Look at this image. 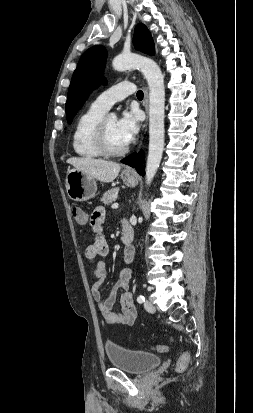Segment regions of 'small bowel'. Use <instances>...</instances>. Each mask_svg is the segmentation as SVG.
I'll list each match as a JSON object with an SVG mask.
<instances>
[{
  "instance_id": "1",
  "label": "small bowel",
  "mask_w": 253,
  "mask_h": 413,
  "mask_svg": "<svg viewBox=\"0 0 253 413\" xmlns=\"http://www.w3.org/2000/svg\"><path fill=\"white\" fill-rule=\"evenodd\" d=\"M105 220V210L103 207H97L90 217L91 231L94 236V242L85 250L86 258L92 263V276L94 284L91 292L94 300L97 303V308L100 311L102 318L110 325H132L137 317V310L133 300V294L129 289L132 271L130 268H124L119 276V279L114 284L110 295L103 299L100 287L106 277V264L103 258L108 255L109 245L102 232L101 225ZM133 258L131 249H126L124 259L126 263H130ZM119 294L120 312H112L113 304Z\"/></svg>"
}]
</instances>
